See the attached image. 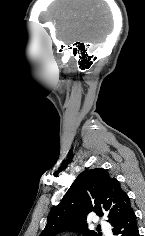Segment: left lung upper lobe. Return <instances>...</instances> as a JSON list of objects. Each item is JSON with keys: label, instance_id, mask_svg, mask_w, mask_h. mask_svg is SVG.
<instances>
[{"label": "left lung upper lobe", "instance_id": "5c2ea615", "mask_svg": "<svg viewBox=\"0 0 145 236\" xmlns=\"http://www.w3.org/2000/svg\"><path fill=\"white\" fill-rule=\"evenodd\" d=\"M132 210L128 195L119 181L103 168L85 170L75 179L61 202L48 215L40 236H55L68 231L83 232V236H99L87 229V215H106L114 226Z\"/></svg>", "mask_w": 145, "mask_h": 236}]
</instances>
